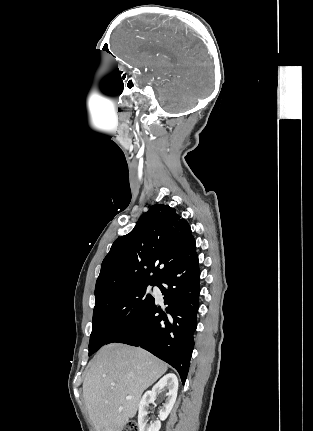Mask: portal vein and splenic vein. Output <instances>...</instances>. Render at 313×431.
Returning a JSON list of instances; mask_svg holds the SVG:
<instances>
[{
  "mask_svg": "<svg viewBox=\"0 0 313 431\" xmlns=\"http://www.w3.org/2000/svg\"><path fill=\"white\" fill-rule=\"evenodd\" d=\"M127 399H131V397H127Z\"/></svg>",
  "mask_w": 313,
  "mask_h": 431,
  "instance_id": "1",
  "label": "portal vein and splenic vein"
}]
</instances>
